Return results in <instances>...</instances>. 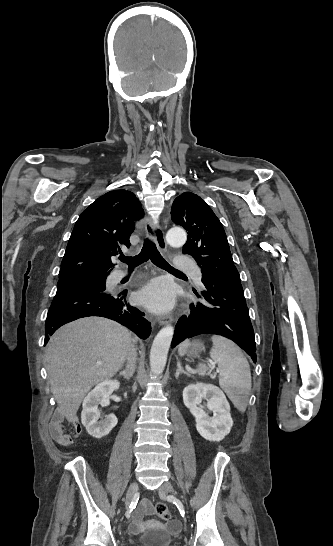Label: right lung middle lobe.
Returning a JSON list of instances; mask_svg holds the SVG:
<instances>
[{
  "label": "right lung middle lobe",
  "instance_id": "right-lung-middle-lobe-1",
  "mask_svg": "<svg viewBox=\"0 0 333 546\" xmlns=\"http://www.w3.org/2000/svg\"><path fill=\"white\" fill-rule=\"evenodd\" d=\"M106 277L107 275H96L59 280L56 294L84 289H95L99 291H104L106 289Z\"/></svg>",
  "mask_w": 333,
  "mask_h": 546
}]
</instances>
